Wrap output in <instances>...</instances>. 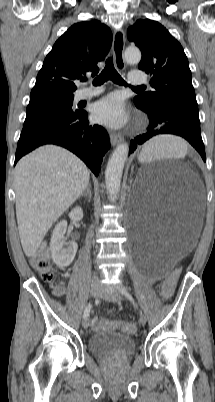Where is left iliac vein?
I'll return each mask as SVG.
<instances>
[{
    "mask_svg": "<svg viewBox=\"0 0 215 402\" xmlns=\"http://www.w3.org/2000/svg\"><path fill=\"white\" fill-rule=\"evenodd\" d=\"M100 297L109 302H119L122 299L121 295L117 291H111L106 288L100 289ZM139 322L143 326L146 324V317L143 314L140 315Z\"/></svg>",
    "mask_w": 215,
    "mask_h": 402,
    "instance_id": "obj_1",
    "label": "left iliac vein"
}]
</instances>
